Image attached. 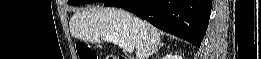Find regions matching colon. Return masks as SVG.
<instances>
[{
  "label": "colon",
  "instance_id": "colon-1",
  "mask_svg": "<svg viewBox=\"0 0 261 59\" xmlns=\"http://www.w3.org/2000/svg\"><path fill=\"white\" fill-rule=\"evenodd\" d=\"M77 53L80 59H97L96 52L87 44L79 43L77 45Z\"/></svg>",
  "mask_w": 261,
  "mask_h": 59
}]
</instances>
